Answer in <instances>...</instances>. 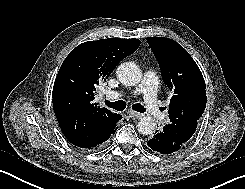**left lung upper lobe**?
<instances>
[{"label":"left lung upper lobe","instance_id":"5c2ea615","mask_svg":"<svg viewBox=\"0 0 245 189\" xmlns=\"http://www.w3.org/2000/svg\"><path fill=\"white\" fill-rule=\"evenodd\" d=\"M158 60L165 85L173 92L169 119L163 129L174 142L186 143L195 133L198 120L206 107L203 75L189 53L176 41L147 38Z\"/></svg>","mask_w":245,"mask_h":189}]
</instances>
